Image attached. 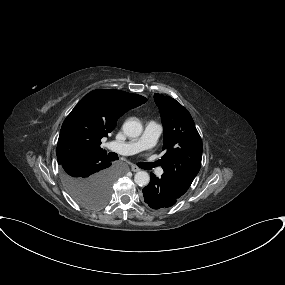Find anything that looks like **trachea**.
<instances>
[{
	"label": "trachea",
	"mask_w": 285,
	"mask_h": 285,
	"mask_svg": "<svg viewBox=\"0 0 285 285\" xmlns=\"http://www.w3.org/2000/svg\"><path fill=\"white\" fill-rule=\"evenodd\" d=\"M139 167L146 169V170H150L152 168H154L155 166H158L157 162L154 163H140L138 164Z\"/></svg>",
	"instance_id": "obj_1"
}]
</instances>
